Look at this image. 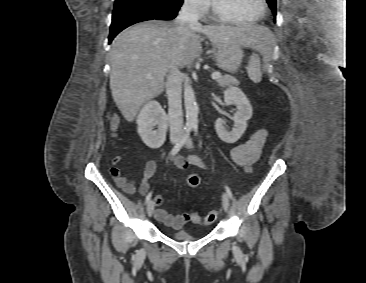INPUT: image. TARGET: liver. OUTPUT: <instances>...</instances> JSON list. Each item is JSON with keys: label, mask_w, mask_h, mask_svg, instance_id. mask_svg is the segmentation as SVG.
Returning a JSON list of instances; mask_svg holds the SVG:
<instances>
[{"label": "liver", "mask_w": 366, "mask_h": 283, "mask_svg": "<svg viewBox=\"0 0 366 283\" xmlns=\"http://www.w3.org/2000/svg\"><path fill=\"white\" fill-rule=\"evenodd\" d=\"M197 32L206 35L214 47L236 42L261 52L272 36L269 29L252 24H198L183 35L174 21L150 20L128 27L113 40L110 50V89L127 121H133L145 102L163 92L173 59L178 60L179 68H185L200 56Z\"/></svg>", "instance_id": "obj_1"}]
</instances>
